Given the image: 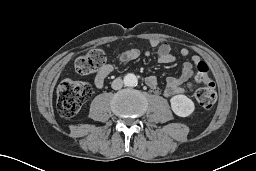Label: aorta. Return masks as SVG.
I'll return each mask as SVG.
<instances>
[{
	"label": "aorta",
	"instance_id": "aorta-1",
	"mask_svg": "<svg viewBox=\"0 0 256 171\" xmlns=\"http://www.w3.org/2000/svg\"><path fill=\"white\" fill-rule=\"evenodd\" d=\"M124 84L128 87H135L138 84V79L135 74L128 73L124 77Z\"/></svg>",
	"mask_w": 256,
	"mask_h": 171
}]
</instances>
